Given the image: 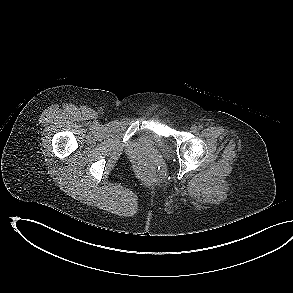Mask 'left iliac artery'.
Instances as JSON below:
<instances>
[{"instance_id": "left-iliac-artery-1", "label": "left iliac artery", "mask_w": 293, "mask_h": 293, "mask_svg": "<svg viewBox=\"0 0 293 293\" xmlns=\"http://www.w3.org/2000/svg\"><path fill=\"white\" fill-rule=\"evenodd\" d=\"M202 128H203V126H202V125H199V126H198V129H199V130H201Z\"/></svg>"}]
</instances>
